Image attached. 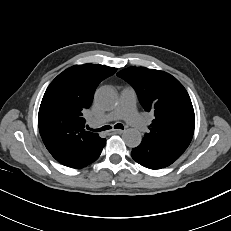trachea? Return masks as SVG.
<instances>
[{"instance_id": "trachea-1", "label": "trachea", "mask_w": 231, "mask_h": 231, "mask_svg": "<svg viewBox=\"0 0 231 231\" xmlns=\"http://www.w3.org/2000/svg\"><path fill=\"white\" fill-rule=\"evenodd\" d=\"M111 128H112L111 126L105 125V126H103V127H101V128L92 129V130L95 131V132H101V131L109 130V129H111ZM114 128H115V129H124L123 125H122V124H119V123L116 124V125L114 126Z\"/></svg>"}]
</instances>
